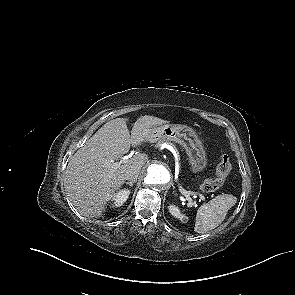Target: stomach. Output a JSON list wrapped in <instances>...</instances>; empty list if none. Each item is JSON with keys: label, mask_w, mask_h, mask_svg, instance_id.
<instances>
[{"label": "stomach", "mask_w": 295, "mask_h": 295, "mask_svg": "<svg viewBox=\"0 0 295 295\" xmlns=\"http://www.w3.org/2000/svg\"><path fill=\"white\" fill-rule=\"evenodd\" d=\"M149 142L173 141L184 147L194 173L207 166V156L202 142L195 132L186 125H163L150 131Z\"/></svg>", "instance_id": "1"}]
</instances>
